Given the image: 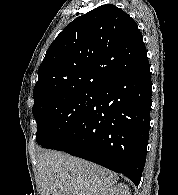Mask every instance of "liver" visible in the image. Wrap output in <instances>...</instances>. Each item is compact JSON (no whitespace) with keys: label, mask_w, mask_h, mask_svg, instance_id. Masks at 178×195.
<instances>
[{"label":"liver","mask_w":178,"mask_h":195,"mask_svg":"<svg viewBox=\"0 0 178 195\" xmlns=\"http://www.w3.org/2000/svg\"><path fill=\"white\" fill-rule=\"evenodd\" d=\"M37 166L41 195H102L118 180L110 170L62 152H41Z\"/></svg>","instance_id":"liver-1"}]
</instances>
